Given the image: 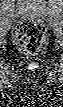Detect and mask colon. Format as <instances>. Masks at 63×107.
<instances>
[{"instance_id": "colon-1", "label": "colon", "mask_w": 63, "mask_h": 107, "mask_svg": "<svg viewBox=\"0 0 63 107\" xmlns=\"http://www.w3.org/2000/svg\"><path fill=\"white\" fill-rule=\"evenodd\" d=\"M16 45L27 53H35L46 39V29L40 21H25L14 35Z\"/></svg>"}]
</instances>
